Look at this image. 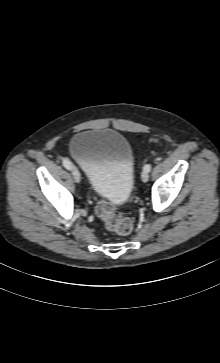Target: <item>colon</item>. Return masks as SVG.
<instances>
[{"label": "colon", "mask_w": 220, "mask_h": 363, "mask_svg": "<svg viewBox=\"0 0 220 363\" xmlns=\"http://www.w3.org/2000/svg\"><path fill=\"white\" fill-rule=\"evenodd\" d=\"M96 213L104 221L106 227L117 234L126 235L133 229L132 220L116 211L106 201L101 200L97 203Z\"/></svg>", "instance_id": "obj_1"}]
</instances>
